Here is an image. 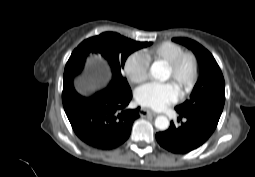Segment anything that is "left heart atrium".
<instances>
[{
  "label": "left heart atrium",
  "mask_w": 255,
  "mask_h": 177,
  "mask_svg": "<svg viewBox=\"0 0 255 177\" xmlns=\"http://www.w3.org/2000/svg\"><path fill=\"white\" fill-rule=\"evenodd\" d=\"M135 97L142 106L162 110L178 100L179 92L172 83L149 82L137 89Z\"/></svg>",
  "instance_id": "39dd6f15"
}]
</instances>
